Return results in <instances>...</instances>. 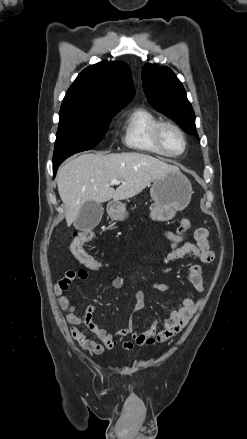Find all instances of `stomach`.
<instances>
[{
    "mask_svg": "<svg viewBox=\"0 0 247 439\" xmlns=\"http://www.w3.org/2000/svg\"><path fill=\"white\" fill-rule=\"evenodd\" d=\"M192 194L190 181L180 171H172L159 177L153 181L150 189L154 202L150 208V217L158 221L172 219L177 211L188 206ZM108 214L118 221L127 217L125 205L118 202L109 206Z\"/></svg>",
    "mask_w": 247,
    "mask_h": 439,
    "instance_id": "obj_1",
    "label": "stomach"
}]
</instances>
